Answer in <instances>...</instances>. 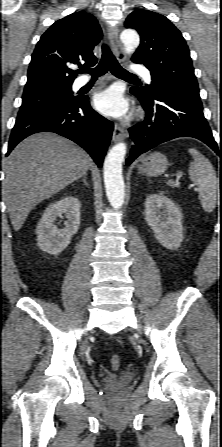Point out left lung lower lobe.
<instances>
[{
	"label": "left lung lower lobe",
	"instance_id": "obj_1",
	"mask_svg": "<svg viewBox=\"0 0 222 447\" xmlns=\"http://www.w3.org/2000/svg\"><path fill=\"white\" fill-rule=\"evenodd\" d=\"M131 92L140 99L146 119L129 129L134 145L127 165L158 144L178 137L199 139L222 159V144L219 147L212 136L200 99L168 86L161 87L151 97L135 89Z\"/></svg>",
	"mask_w": 222,
	"mask_h": 447
}]
</instances>
